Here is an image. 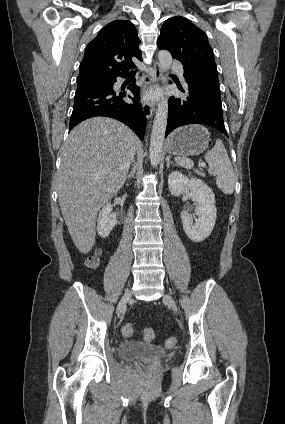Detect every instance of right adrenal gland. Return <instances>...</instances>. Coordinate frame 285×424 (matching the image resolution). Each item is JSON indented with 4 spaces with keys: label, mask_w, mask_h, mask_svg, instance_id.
<instances>
[{
    "label": "right adrenal gland",
    "mask_w": 285,
    "mask_h": 424,
    "mask_svg": "<svg viewBox=\"0 0 285 424\" xmlns=\"http://www.w3.org/2000/svg\"><path fill=\"white\" fill-rule=\"evenodd\" d=\"M135 171H136V165L134 163L132 170L130 171V173L128 174L126 178L131 179L132 177H134Z\"/></svg>",
    "instance_id": "1"
}]
</instances>
